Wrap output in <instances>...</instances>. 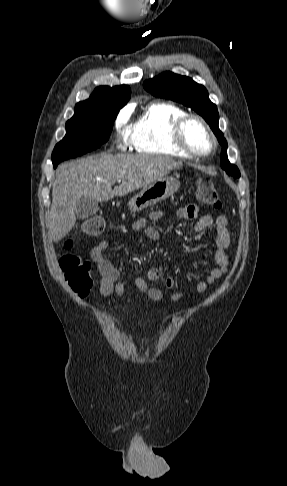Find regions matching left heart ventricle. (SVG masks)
<instances>
[{
    "instance_id": "1",
    "label": "left heart ventricle",
    "mask_w": 287,
    "mask_h": 486,
    "mask_svg": "<svg viewBox=\"0 0 287 486\" xmlns=\"http://www.w3.org/2000/svg\"><path fill=\"white\" fill-rule=\"evenodd\" d=\"M185 139L187 144L198 152H205L211 146V141L202 126L191 121L185 129Z\"/></svg>"
}]
</instances>
